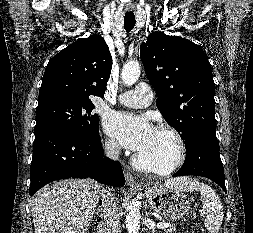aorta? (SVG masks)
I'll use <instances>...</instances> for the list:
<instances>
[{
  "mask_svg": "<svg viewBox=\"0 0 253 233\" xmlns=\"http://www.w3.org/2000/svg\"><path fill=\"white\" fill-rule=\"evenodd\" d=\"M141 74L140 64L138 62L127 63L122 71L121 78L125 85L134 84ZM128 233H138L140 228V212L135 200L132 201L129 207V213L125 220Z\"/></svg>",
  "mask_w": 253,
  "mask_h": 233,
  "instance_id": "aorta-1",
  "label": "aorta"
}]
</instances>
